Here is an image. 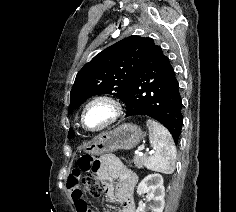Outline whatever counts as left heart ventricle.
<instances>
[{"instance_id": "b2bd125f", "label": "left heart ventricle", "mask_w": 236, "mask_h": 212, "mask_svg": "<svg viewBox=\"0 0 236 212\" xmlns=\"http://www.w3.org/2000/svg\"><path fill=\"white\" fill-rule=\"evenodd\" d=\"M109 116V108L104 104L90 107L85 114V124L90 128L99 127Z\"/></svg>"}]
</instances>
